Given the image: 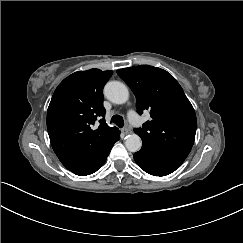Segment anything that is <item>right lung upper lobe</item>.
<instances>
[{"mask_svg": "<svg viewBox=\"0 0 243 243\" xmlns=\"http://www.w3.org/2000/svg\"><path fill=\"white\" fill-rule=\"evenodd\" d=\"M112 74L99 69L75 72L52 96L48 134L57 157L73 173L89 167L120 137L104 118L102 91Z\"/></svg>", "mask_w": 243, "mask_h": 243, "instance_id": "right-lung-upper-lobe-1", "label": "right lung upper lobe"}]
</instances>
